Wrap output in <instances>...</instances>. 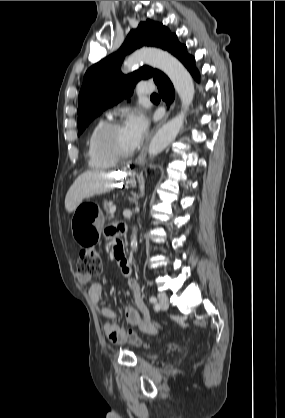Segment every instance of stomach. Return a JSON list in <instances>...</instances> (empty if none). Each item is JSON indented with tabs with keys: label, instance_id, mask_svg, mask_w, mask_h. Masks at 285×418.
<instances>
[{
	"label": "stomach",
	"instance_id": "stomach-1",
	"mask_svg": "<svg viewBox=\"0 0 285 418\" xmlns=\"http://www.w3.org/2000/svg\"><path fill=\"white\" fill-rule=\"evenodd\" d=\"M136 173L132 171L126 172L121 177L127 184H133L135 182ZM101 217L99 212L98 218ZM71 231L74 239L80 244L85 245V242L91 239H96L100 235L101 227L91 219L90 213L84 211L79 205L71 218Z\"/></svg>",
	"mask_w": 285,
	"mask_h": 418
}]
</instances>
